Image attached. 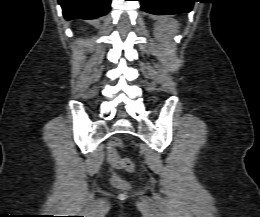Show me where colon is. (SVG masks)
Wrapping results in <instances>:
<instances>
[{
	"label": "colon",
	"instance_id": "colon-1",
	"mask_svg": "<svg viewBox=\"0 0 260 217\" xmlns=\"http://www.w3.org/2000/svg\"><path fill=\"white\" fill-rule=\"evenodd\" d=\"M110 145L114 149H116V148L122 147V142L118 138H113V139L110 140ZM117 165L121 169H123L127 172H134V163L129 158H118L117 159ZM111 182H112L113 186H115L117 188H122V189L128 188V182L119 175H114L111 179Z\"/></svg>",
	"mask_w": 260,
	"mask_h": 217
}]
</instances>
